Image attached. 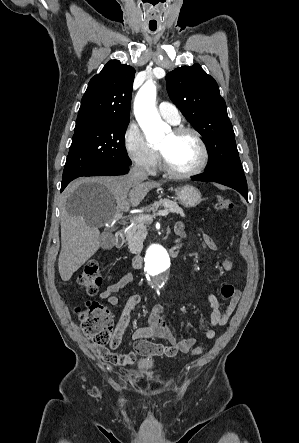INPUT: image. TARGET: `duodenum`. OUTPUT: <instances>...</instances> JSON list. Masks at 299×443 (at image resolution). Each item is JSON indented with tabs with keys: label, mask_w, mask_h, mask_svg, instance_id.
Listing matches in <instances>:
<instances>
[{
	"label": "duodenum",
	"mask_w": 299,
	"mask_h": 443,
	"mask_svg": "<svg viewBox=\"0 0 299 443\" xmlns=\"http://www.w3.org/2000/svg\"><path fill=\"white\" fill-rule=\"evenodd\" d=\"M124 242V230L118 229L115 234V246L122 247ZM181 246L180 244H175L168 250V254L170 257H177L180 253ZM143 266V257L141 255H135L132 258V267L135 269H141Z\"/></svg>",
	"instance_id": "410a0bca"
}]
</instances>
